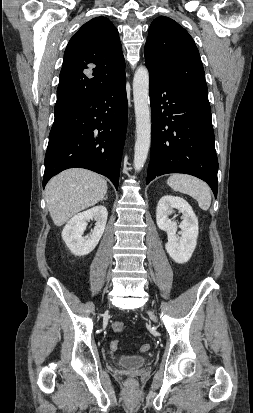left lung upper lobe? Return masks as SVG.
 Returning <instances> with one entry per match:
<instances>
[{
	"label": "left lung upper lobe",
	"mask_w": 253,
	"mask_h": 413,
	"mask_svg": "<svg viewBox=\"0 0 253 413\" xmlns=\"http://www.w3.org/2000/svg\"><path fill=\"white\" fill-rule=\"evenodd\" d=\"M146 66L173 86L209 103L199 51L189 33L171 18L160 16L149 27Z\"/></svg>",
	"instance_id": "5c2ea615"
}]
</instances>
